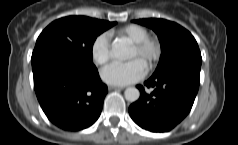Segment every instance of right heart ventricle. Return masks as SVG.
<instances>
[{"mask_svg": "<svg viewBox=\"0 0 238 145\" xmlns=\"http://www.w3.org/2000/svg\"><path fill=\"white\" fill-rule=\"evenodd\" d=\"M118 38L124 39L131 44L141 41L148 36L147 30L139 25L130 24L115 32Z\"/></svg>", "mask_w": 238, "mask_h": 145, "instance_id": "right-heart-ventricle-1", "label": "right heart ventricle"}]
</instances>
